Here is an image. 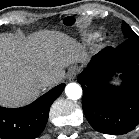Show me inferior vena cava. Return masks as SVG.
Segmentation results:
<instances>
[{"label": "inferior vena cava", "mask_w": 139, "mask_h": 139, "mask_svg": "<svg viewBox=\"0 0 139 139\" xmlns=\"http://www.w3.org/2000/svg\"><path fill=\"white\" fill-rule=\"evenodd\" d=\"M55 78L51 75H43L38 80V86L40 88H46L52 84H54Z\"/></svg>", "instance_id": "obj_1"}]
</instances>
